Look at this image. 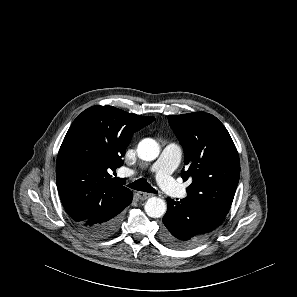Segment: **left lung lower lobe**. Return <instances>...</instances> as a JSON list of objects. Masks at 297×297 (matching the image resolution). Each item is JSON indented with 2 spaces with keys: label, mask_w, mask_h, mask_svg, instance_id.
Here are the masks:
<instances>
[{
  "label": "left lung lower lobe",
  "mask_w": 297,
  "mask_h": 297,
  "mask_svg": "<svg viewBox=\"0 0 297 297\" xmlns=\"http://www.w3.org/2000/svg\"><path fill=\"white\" fill-rule=\"evenodd\" d=\"M168 209L163 217V241L173 248L186 249L197 244L202 238L217 228L227 214L212 216L205 227L200 230L194 223L200 216L199 212L184 199L174 201L167 198Z\"/></svg>",
  "instance_id": "0a47b994"
}]
</instances>
